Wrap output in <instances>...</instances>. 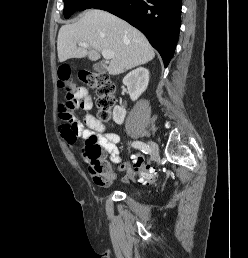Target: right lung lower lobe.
I'll list each match as a JSON object with an SVG mask.
<instances>
[{"label":"right lung lower lobe","mask_w":248,"mask_h":258,"mask_svg":"<svg viewBox=\"0 0 248 258\" xmlns=\"http://www.w3.org/2000/svg\"><path fill=\"white\" fill-rule=\"evenodd\" d=\"M181 6L182 0H108L95 9L108 11L139 29L167 67L179 36Z\"/></svg>","instance_id":"right-lung-lower-lobe-1"}]
</instances>
